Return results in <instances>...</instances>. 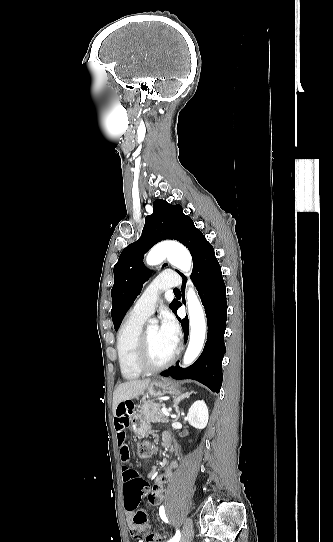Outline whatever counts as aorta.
I'll return each instance as SVG.
<instances>
[{
    "label": "aorta",
    "instance_id": "aorta-1",
    "mask_svg": "<svg viewBox=\"0 0 333 542\" xmlns=\"http://www.w3.org/2000/svg\"><path fill=\"white\" fill-rule=\"evenodd\" d=\"M164 258H168V262L176 266L178 270L188 274L192 268V258L190 252H188L185 246L177 244V242H170V244H164L160 246L159 252L151 250L149 252L146 262L149 266H157L161 264ZM187 308L190 324V336L189 344L183 358V368L191 366L198 356H200L206 338V320L204 310L201 306L198 296H196L193 288H188L186 292Z\"/></svg>",
    "mask_w": 333,
    "mask_h": 542
}]
</instances>
